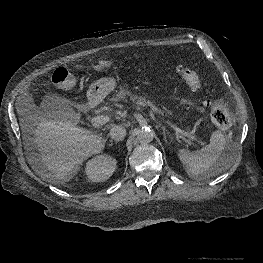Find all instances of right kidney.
Instances as JSON below:
<instances>
[{
  "mask_svg": "<svg viewBox=\"0 0 263 263\" xmlns=\"http://www.w3.org/2000/svg\"><path fill=\"white\" fill-rule=\"evenodd\" d=\"M116 160L108 155H99L87 162L85 172L93 182H103L116 169Z\"/></svg>",
  "mask_w": 263,
  "mask_h": 263,
  "instance_id": "1",
  "label": "right kidney"
}]
</instances>
